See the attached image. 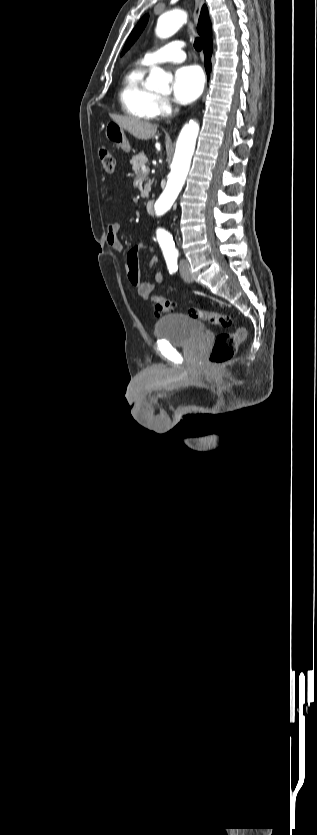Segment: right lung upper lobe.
Wrapping results in <instances>:
<instances>
[{
	"mask_svg": "<svg viewBox=\"0 0 317 835\" xmlns=\"http://www.w3.org/2000/svg\"><path fill=\"white\" fill-rule=\"evenodd\" d=\"M208 29H211V23L208 17L207 7L204 5L198 21V33L202 37Z\"/></svg>",
	"mask_w": 317,
	"mask_h": 835,
	"instance_id": "1",
	"label": "right lung upper lobe"
}]
</instances>
